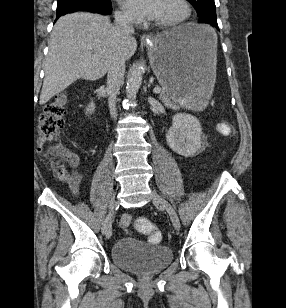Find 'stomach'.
<instances>
[{
	"instance_id": "obj_1",
	"label": "stomach",
	"mask_w": 286,
	"mask_h": 308,
	"mask_svg": "<svg viewBox=\"0 0 286 308\" xmlns=\"http://www.w3.org/2000/svg\"><path fill=\"white\" fill-rule=\"evenodd\" d=\"M152 69L172 100L203 107L216 78L217 35L206 24L188 23L146 43Z\"/></svg>"
}]
</instances>
